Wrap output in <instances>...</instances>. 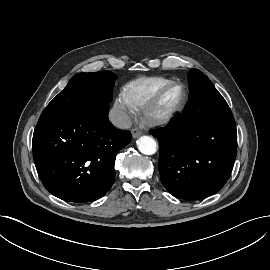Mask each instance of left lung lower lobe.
I'll list each match as a JSON object with an SVG mask.
<instances>
[{
  "label": "left lung lower lobe",
  "instance_id": "left-lung-lower-lobe-1",
  "mask_svg": "<svg viewBox=\"0 0 270 270\" xmlns=\"http://www.w3.org/2000/svg\"><path fill=\"white\" fill-rule=\"evenodd\" d=\"M151 134L160 143L161 182L173 196L201 199L229 179L237 155L234 117L202 119L188 102L181 116Z\"/></svg>",
  "mask_w": 270,
  "mask_h": 270
}]
</instances>
